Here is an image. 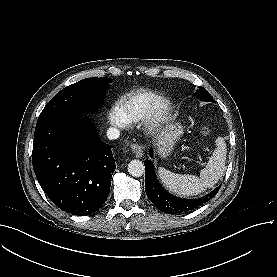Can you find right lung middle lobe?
<instances>
[{"label":"right lung middle lobe","instance_id":"right-lung-middle-lobe-1","mask_svg":"<svg viewBox=\"0 0 277 277\" xmlns=\"http://www.w3.org/2000/svg\"><path fill=\"white\" fill-rule=\"evenodd\" d=\"M110 78H86L57 93L44 107L38 121L54 116H81L96 111L104 100Z\"/></svg>","mask_w":277,"mask_h":277}]
</instances>
